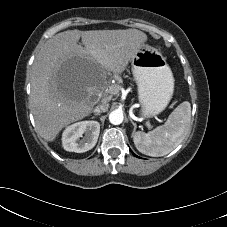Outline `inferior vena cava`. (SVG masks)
Returning <instances> with one entry per match:
<instances>
[{
	"instance_id": "602c4592",
	"label": "inferior vena cava",
	"mask_w": 227,
	"mask_h": 227,
	"mask_svg": "<svg viewBox=\"0 0 227 227\" xmlns=\"http://www.w3.org/2000/svg\"><path fill=\"white\" fill-rule=\"evenodd\" d=\"M108 108H109V104L107 103V100L103 99L102 104H99L94 108V112L95 113L106 112Z\"/></svg>"
}]
</instances>
